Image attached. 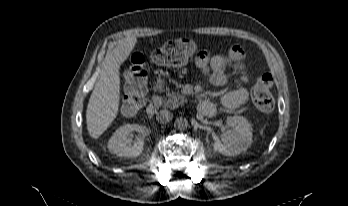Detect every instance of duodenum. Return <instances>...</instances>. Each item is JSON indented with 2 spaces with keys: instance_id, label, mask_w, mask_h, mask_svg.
I'll use <instances>...</instances> for the list:
<instances>
[{
  "instance_id": "obj_1",
  "label": "duodenum",
  "mask_w": 348,
  "mask_h": 206,
  "mask_svg": "<svg viewBox=\"0 0 348 206\" xmlns=\"http://www.w3.org/2000/svg\"><path fill=\"white\" fill-rule=\"evenodd\" d=\"M160 105H161L160 98L157 96L153 97L147 106V113L151 116L156 114ZM214 111H215L214 106L209 102H203L198 107V112L205 116L213 115Z\"/></svg>"
}]
</instances>
